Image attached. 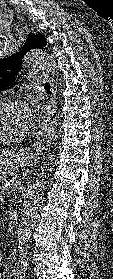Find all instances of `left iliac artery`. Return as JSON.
I'll return each instance as SVG.
<instances>
[{"label":"left iliac artery","instance_id":"obj_1","mask_svg":"<svg viewBox=\"0 0 113 279\" xmlns=\"http://www.w3.org/2000/svg\"><path fill=\"white\" fill-rule=\"evenodd\" d=\"M15 275H16L17 279H23L24 278L23 272L18 271V272L15 273Z\"/></svg>","mask_w":113,"mask_h":279}]
</instances>
